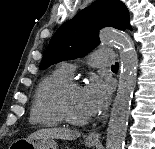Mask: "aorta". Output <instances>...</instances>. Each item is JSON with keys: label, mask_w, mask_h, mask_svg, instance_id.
<instances>
[{"label": "aorta", "mask_w": 155, "mask_h": 149, "mask_svg": "<svg viewBox=\"0 0 155 149\" xmlns=\"http://www.w3.org/2000/svg\"><path fill=\"white\" fill-rule=\"evenodd\" d=\"M102 43L120 47L121 69L118 89L112 105L107 129L106 149H123L130 114L131 98L136 85L138 58L130 37L105 29L100 33Z\"/></svg>", "instance_id": "762f6f07"}]
</instances>
